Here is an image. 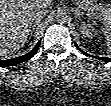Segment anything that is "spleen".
Segmentation results:
<instances>
[{
  "instance_id": "obj_1",
  "label": "spleen",
  "mask_w": 111,
  "mask_h": 106,
  "mask_svg": "<svg viewBox=\"0 0 111 106\" xmlns=\"http://www.w3.org/2000/svg\"><path fill=\"white\" fill-rule=\"evenodd\" d=\"M100 29L107 39V52L111 53V19L104 20Z\"/></svg>"
}]
</instances>
